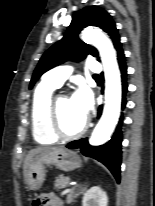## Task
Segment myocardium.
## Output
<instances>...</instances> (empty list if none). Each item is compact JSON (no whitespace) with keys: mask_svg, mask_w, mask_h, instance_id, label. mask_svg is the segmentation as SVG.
I'll list each match as a JSON object with an SVG mask.
<instances>
[{"mask_svg":"<svg viewBox=\"0 0 155 206\" xmlns=\"http://www.w3.org/2000/svg\"><path fill=\"white\" fill-rule=\"evenodd\" d=\"M62 96L68 97L66 95H62ZM58 98L59 96L51 99L50 105H49V111H48L49 127L51 131L53 132V134L56 137L63 138V139H74V138H77L83 135L89 126L87 119H85L81 127L74 132H66L63 130V128L60 125L59 115H58V108H57Z\"/></svg>","mask_w":155,"mask_h":206,"instance_id":"f54148a6","label":"myocardium"}]
</instances>
